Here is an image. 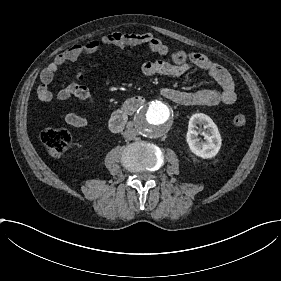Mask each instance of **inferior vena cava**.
I'll return each mask as SVG.
<instances>
[{
	"label": "inferior vena cava",
	"instance_id": "inferior-vena-cava-1",
	"mask_svg": "<svg viewBox=\"0 0 281 281\" xmlns=\"http://www.w3.org/2000/svg\"><path fill=\"white\" fill-rule=\"evenodd\" d=\"M137 135V132L135 129L130 128L124 131L123 136L127 139V140H133Z\"/></svg>",
	"mask_w": 281,
	"mask_h": 281
}]
</instances>
